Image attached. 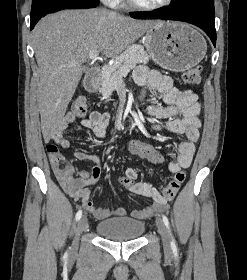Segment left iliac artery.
Masks as SVG:
<instances>
[{
    "mask_svg": "<svg viewBox=\"0 0 247 280\" xmlns=\"http://www.w3.org/2000/svg\"><path fill=\"white\" fill-rule=\"evenodd\" d=\"M162 218H163V222H164L165 226H166V227L168 228V230L170 231V225H169V220H168V218H167L165 215H163ZM171 248H172V250H173L174 252L177 251L176 242H175V240H174L173 237H171Z\"/></svg>",
    "mask_w": 247,
    "mask_h": 280,
    "instance_id": "left-iliac-artery-1",
    "label": "left iliac artery"
}]
</instances>
